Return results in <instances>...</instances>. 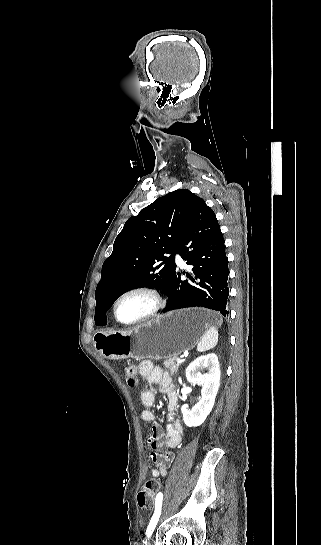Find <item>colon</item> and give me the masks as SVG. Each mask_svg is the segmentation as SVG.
Masks as SVG:
<instances>
[{"mask_svg":"<svg viewBox=\"0 0 321 545\" xmlns=\"http://www.w3.org/2000/svg\"><path fill=\"white\" fill-rule=\"evenodd\" d=\"M122 372L126 378L129 386H134L136 380V369L134 365L127 364L122 367ZM160 483L154 479L148 480L144 483L141 490L138 493L137 501L141 508L151 509L154 506L156 497L159 494Z\"/></svg>","mask_w":321,"mask_h":545,"instance_id":"colon-1","label":"colon"}]
</instances>
